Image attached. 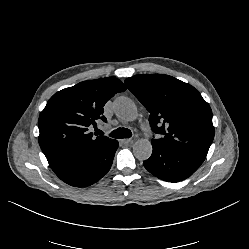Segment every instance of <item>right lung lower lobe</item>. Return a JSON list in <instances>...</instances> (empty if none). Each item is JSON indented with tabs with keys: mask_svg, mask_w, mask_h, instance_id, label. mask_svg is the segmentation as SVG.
<instances>
[{
	"mask_svg": "<svg viewBox=\"0 0 249 249\" xmlns=\"http://www.w3.org/2000/svg\"><path fill=\"white\" fill-rule=\"evenodd\" d=\"M117 148L118 141L112 139L93 155L56 175L65 183L75 187L92 185L109 171Z\"/></svg>",
	"mask_w": 249,
	"mask_h": 249,
	"instance_id": "obj_1",
	"label": "right lung lower lobe"
}]
</instances>
